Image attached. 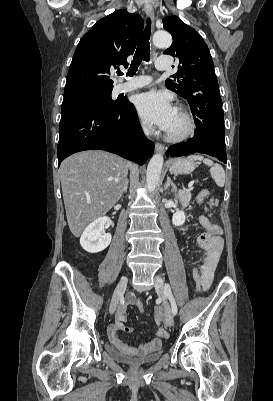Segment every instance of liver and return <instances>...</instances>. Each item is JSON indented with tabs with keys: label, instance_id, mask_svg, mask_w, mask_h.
<instances>
[{
	"label": "liver",
	"instance_id": "obj_1",
	"mask_svg": "<svg viewBox=\"0 0 273 401\" xmlns=\"http://www.w3.org/2000/svg\"><path fill=\"white\" fill-rule=\"evenodd\" d=\"M130 162L104 150H83L63 160L59 172L67 223L74 237L104 217L124 190Z\"/></svg>",
	"mask_w": 273,
	"mask_h": 401
}]
</instances>
